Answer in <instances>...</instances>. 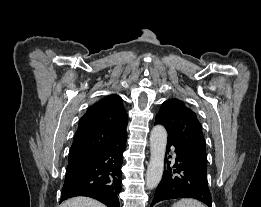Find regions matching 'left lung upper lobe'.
I'll return each instance as SVG.
<instances>
[{
    "label": "left lung upper lobe",
    "mask_w": 261,
    "mask_h": 207,
    "mask_svg": "<svg viewBox=\"0 0 261 207\" xmlns=\"http://www.w3.org/2000/svg\"><path fill=\"white\" fill-rule=\"evenodd\" d=\"M155 124L165 126L168 142L181 152L207 166V154L202 127L196 114L178 99L165 101L156 115Z\"/></svg>",
    "instance_id": "obj_1"
}]
</instances>
